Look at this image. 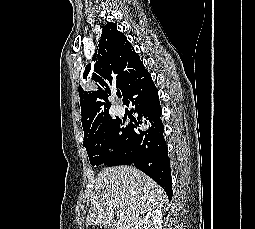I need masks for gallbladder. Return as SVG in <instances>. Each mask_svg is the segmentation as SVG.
I'll return each instance as SVG.
<instances>
[{"label":"gallbladder","mask_w":255,"mask_h":229,"mask_svg":"<svg viewBox=\"0 0 255 229\" xmlns=\"http://www.w3.org/2000/svg\"><path fill=\"white\" fill-rule=\"evenodd\" d=\"M105 229H112L110 225L106 226Z\"/></svg>","instance_id":"gallbladder-1"}]
</instances>
